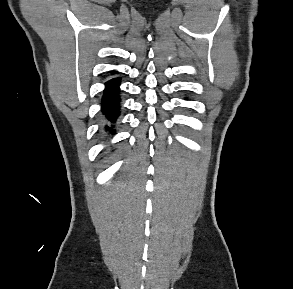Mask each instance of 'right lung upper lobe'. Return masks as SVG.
<instances>
[{
	"instance_id": "right-lung-upper-lobe-1",
	"label": "right lung upper lobe",
	"mask_w": 293,
	"mask_h": 289,
	"mask_svg": "<svg viewBox=\"0 0 293 289\" xmlns=\"http://www.w3.org/2000/svg\"><path fill=\"white\" fill-rule=\"evenodd\" d=\"M111 73L114 74V73H116V72H115V71H112Z\"/></svg>"
}]
</instances>
